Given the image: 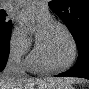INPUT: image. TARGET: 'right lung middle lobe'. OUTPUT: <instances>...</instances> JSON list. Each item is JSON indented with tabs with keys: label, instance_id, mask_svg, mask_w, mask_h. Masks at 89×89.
<instances>
[{
	"label": "right lung middle lobe",
	"instance_id": "right-lung-middle-lobe-1",
	"mask_svg": "<svg viewBox=\"0 0 89 89\" xmlns=\"http://www.w3.org/2000/svg\"><path fill=\"white\" fill-rule=\"evenodd\" d=\"M6 16V12L0 10V37L5 35L12 28V23L11 21H7Z\"/></svg>",
	"mask_w": 89,
	"mask_h": 89
}]
</instances>
